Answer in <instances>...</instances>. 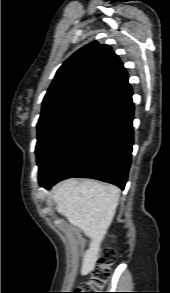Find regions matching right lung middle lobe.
<instances>
[{
  "instance_id": "obj_1",
  "label": "right lung middle lobe",
  "mask_w": 170,
  "mask_h": 293,
  "mask_svg": "<svg viewBox=\"0 0 170 293\" xmlns=\"http://www.w3.org/2000/svg\"><path fill=\"white\" fill-rule=\"evenodd\" d=\"M109 108L76 105L38 122L36 156L39 183L50 177L64 158L87 136Z\"/></svg>"
}]
</instances>
